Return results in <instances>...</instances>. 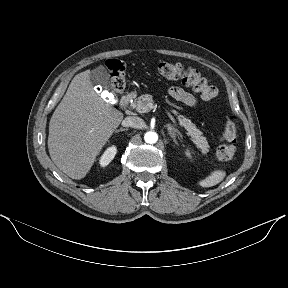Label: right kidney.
I'll return each mask as SVG.
<instances>
[{
  "instance_id": "1",
  "label": "right kidney",
  "mask_w": 288,
  "mask_h": 288,
  "mask_svg": "<svg viewBox=\"0 0 288 288\" xmlns=\"http://www.w3.org/2000/svg\"><path fill=\"white\" fill-rule=\"evenodd\" d=\"M117 149L115 146L108 147L100 157L99 163L102 167L107 166L115 157Z\"/></svg>"
}]
</instances>
